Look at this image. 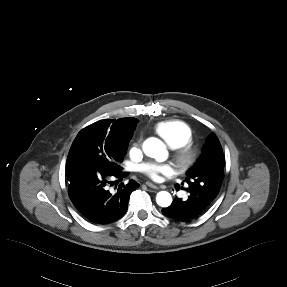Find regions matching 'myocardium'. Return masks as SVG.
<instances>
[{
  "label": "myocardium",
  "mask_w": 287,
  "mask_h": 287,
  "mask_svg": "<svg viewBox=\"0 0 287 287\" xmlns=\"http://www.w3.org/2000/svg\"><path fill=\"white\" fill-rule=\"evenodd\" d=\"M198 152L197 149L191 144H186L176 149L175 159L178 166L182 170L190 168L197 160Z\"/></svg>",
  "instance_id": "myocardium-1"
}]
</instances>
